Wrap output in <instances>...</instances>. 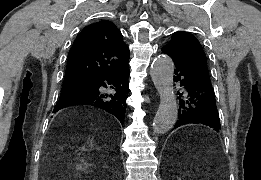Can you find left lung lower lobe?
I'll use <instances>...</instances> for the list:
<instances>
[{"label": "left lung lower lobe", "instance_id": "0a47b994", "mask_svg": "<svg viewBox=\"0 0 261 180\" xmlns=\"http://www.w3.org/2000/svg\"><path fill=\"white\" fill-rule=\"evenodd\" d=\"M175 64L174 80L182 86L179 95L178 121L175 128L186 124H203L216 131L221 129L215 93L210 78L194 67L174 57L170 50L161 49Z\"/></svg>", "mask_w": 261, "mask_h": 180}]
</instances>
